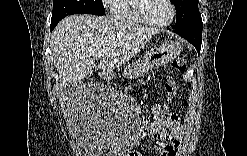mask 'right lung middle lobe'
Segmentation results:
<instances>
[{
	"label": "right lung middle lobe",
	"instance_id": "obj_1",
	"mask_svg": "<svg viewBox=\"0 0 247 156\" xmlns=\"http://www.w3.org/2000/svg\"><path fill=\"white\" fill-rule=\"evenodd\" d=\"M71 14L104 15L102 0H53L52 22Z\"/></svg>",
	"mask_w": 247,
	"mask_h": 156
}]
</instances>
